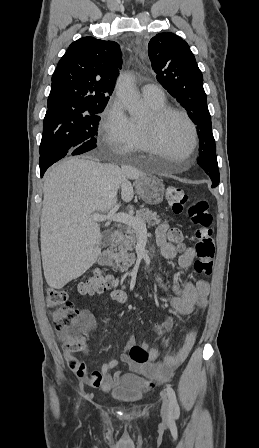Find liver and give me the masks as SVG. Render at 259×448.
I'll return each mask as SVG.
<instances>
[{
	"label": "liver",
	"mask_w": 259,
	"mask_h": 448,
	"mask_svg": "<svg viewBox=\"0 0 259 448\" xmlns=\"http://www.w3.org/2000/svg\"><path fill=\"white\" fill-rule=\"evenodd\" d=\"M41 256L45 280L61 290L87 272L101 254L100 226L89 216L116 206L117 192L130 188L114 164L66 158L44 176Z\"/></svg>",
	"instance_id": "6515ba94"
}]
</instances>
